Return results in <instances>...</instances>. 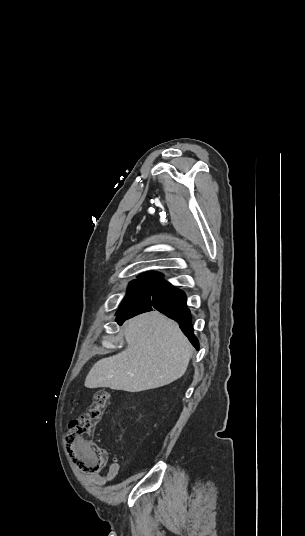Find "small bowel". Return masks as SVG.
<instances>
[{
	"label": "small bowel",
	"instance_id": "obj_1",
	"mask_svg": "<svg viewBox=\"0 0 305 536\" xmlns=\"http://www.w3.org/2000/svg\"><path fill=\"white\" fill-rule=\"evenodd\" d=\"M119 471H120V465L117 461H114L110 464L109 469L106 474L88 475L86 476V479L95 484L104 485L112 481L117 476Z\"/></svg>",
	"mask_w": 305,
	"mask_h": 536
}]
</instances>
